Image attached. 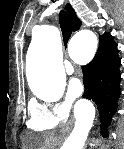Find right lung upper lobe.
Masks as SVG:
<instances>
[{
  "instance_id": "1",
  "label": "right lung upper lobe",
  "mask_w": 124,
  "mask_h": 149,
  "mask_svg": "<svg viewBox=\"0 0 124 149\" xmlns=\"http://www.w3.org/2000/svg\"><path fill=\"white\" fill-rule=\"evenodd\" d=\"M66 10L68 11L69 16L71 18L72 25H73V31H77L82 25V22L79 20L74 9L71 7L70 4L66 5Z\"/></svg>"
}]
</instances>
